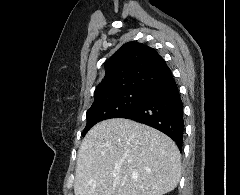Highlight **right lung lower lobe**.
I'll use <instances>...</instances> for the list:
<instances>
[{
    "label": "right lung lower lobe",
    "mask_w": 240,
    "mask_h": 195,
    "mask_svg": "<svg viewBox=\"0 0 240 195\" xmlns=\"http://www.w3.org/2000/svg\"><path fill=\"white\" fill-rule=\"evenodd\" d=\"M119 118L131 119L160 130L176 142L180 151L182 150L183 103L173 76L149 89L138 106Z\"/></svg>",
    "instance_id": "right-lung-lower-lobe-1"
}]
</instances>
